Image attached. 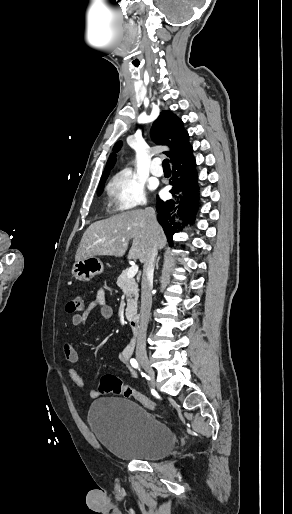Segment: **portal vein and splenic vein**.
<instances>
[{
	"mask_svg": "<svg viewBox=\"0 0 292 514\" xmlns=\"http://www.w3.org/2000/svg\"><path fill=\"white\" fill-rule=\"evenodd\" d=\"M137 272H138V266H136V264H133V266H131V268H129V270L127 272L128 278H134V276H136Z\"/></svg>",
	"mask_w": 292,
	"mask_h": 514,
	"instance_id": "18ae733b",
	"label": "portal vein and splenic vein"
}]
</instances>
